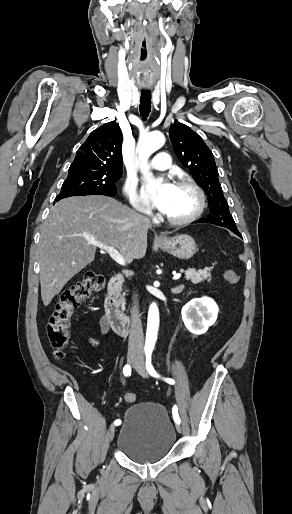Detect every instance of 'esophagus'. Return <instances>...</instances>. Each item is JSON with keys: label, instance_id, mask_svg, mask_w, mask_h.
Masks as SVG:
<instances>
[{"label": "esophagus", "instance_id": "1", "mask_svg": "<svg viewBox=\"0 0 292 514\" xmlns=\"http://www.w3.org/2000/svg\"><path fill=\"white\" fill-rule=\"evenodd\" d=\"M156 240H158L159 242H163L164 240V237L162 235H159Z\"/></svg>", "mask_w": 292, "mask_h": 514}]
</instances>
